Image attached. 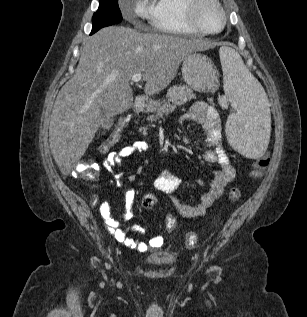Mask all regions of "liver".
Wrapping results in <instances>:
<instances>
[{"instance_id":"obj_1","label":"liver","mask_w":307,"mask_h":317,"mask_svg":"<svg viewBox=\"0 0 307 317\" xmlns=\"http://www.w3.org/2000/svg\"><path fill=\"white\" fill-rule=\"evenodd\" d=\"M214 46L202 39L123 26L106 27L89 37L75 75L61 88L51 115L49 145L61 173L67 175L86 152L102 124V109L113 117L132 107L133 75L142 73L145 94H156L175 78L187 54Z\"/></svg>"}]
</instances>
